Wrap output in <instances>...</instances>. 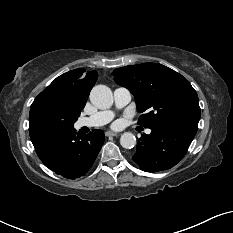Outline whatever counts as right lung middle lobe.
<instances>
[{"instance_id": "1", "label": "right lung middle lobe", "mask_w": 233, "mask_h": 233, "mask_svg": "<svg viewBox=\"0 0 233 233\" xmlns=\"http://www.w3.org/2000/svg\"><path fill=\"white\" fill-rule=\"evenodd\" d=\"M80 113L55 98H43L30 108L29 128L69 129L73 127Z\"/></svg>"}]
</instances>
